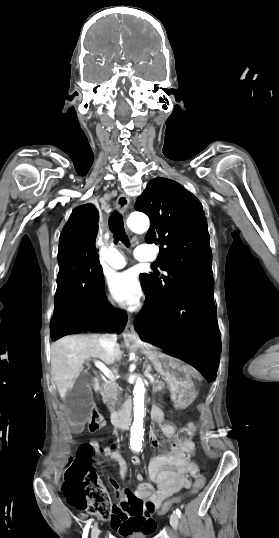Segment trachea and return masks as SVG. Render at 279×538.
Here are the masks:
<instances>
[{"label": "trachea", "instance_id": "obj_1", "mask_svg": "<svg viewBox=\"0 0 279 538\" xmlns=\"http://www.w3.org/2000/svg\"><path fill=\"white\" fill-rule=\"evenodd\" d=\"M109 228L113 232L115 243L121 241L127 247H130L129 239L125 233L124 221L122 215L114 211L109 217Z\"/></svg>", "mask_w": 279, "mask_h": 538}]
</instances>
